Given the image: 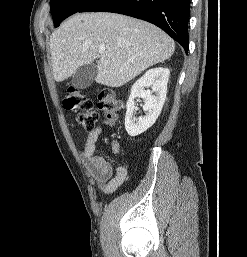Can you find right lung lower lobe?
<instances>
[{
    "mask_svg": "<svg viewBox=\"0 0 247 257\" xmlns=\"http://www.w3.org/2000/svg\"><path fill=\"white\" fill-rule=\"evenodd\" d=\"M78 12H114L148 21L188 52L190 0H91Z\"/></svg>",
    "mask_w": 247,
    "mask_h": 257,
    "instance_id": "right-lung-lower-lobe-1",
    "label": "right lung lower lobe"
}]
</instances>
